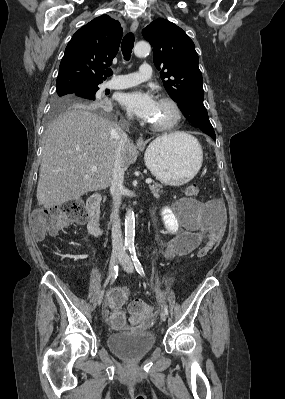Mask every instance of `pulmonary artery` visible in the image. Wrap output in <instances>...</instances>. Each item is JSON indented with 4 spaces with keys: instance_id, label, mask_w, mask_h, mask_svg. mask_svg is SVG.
<instances>
[{
    "instance_id": "e3ab8cb5",
    "label": "pulmonary artery",
    "mask_w": 285,
    "mask_h": 399,
    "mask_svg": "<svg viewBox=\"0 0 285 399\" xmlns=\"http://www.w3.org/2000/svg\"><path fill=\"white\" fill-rule=\"evenodd\" d=\"M152 76V71L149 63H142L137 72L117 74L114 79L105 84L108 89H125L135 86Z\"/></svg>"
}]
</instances>
